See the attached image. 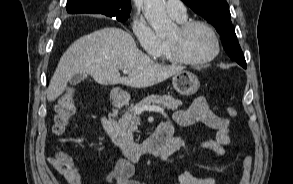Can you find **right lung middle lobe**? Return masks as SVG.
I'll list each match as a JSON object with an SVG mask.
<instances>
[{"instance_id": "right-lung-middle-lobe-1", "label": "right lung middle lobe", "mask_w": 293, "mask_h": 184, "mask_svg": "<svg viewBox=\"0 0 293 184\" xmlns=\"http://www.w3.org/2000/svg\"><path fill=\"white\" fill-rule=\"evenodd\" d=\"M130 14H113L111 17H116L118 21L124 22L128 19Z\"/></svg>"}]
</instances>
